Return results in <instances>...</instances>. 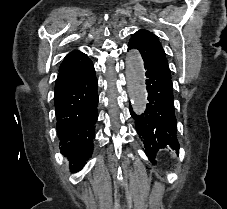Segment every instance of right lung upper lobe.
<instances>
[{"mask_svg": "<svg viewBox=\"0 0 227 209\" xmlns=\"http://www.w3.org/2000/svg\"><path fill=\"white\" fill-rule=\"evenodd\" d=\"M91 60L87 58L86 54L73 51L72 53L68 54L64 61L62 62L61 66L70 65V66H82L90 63ZM70 81L60 82L55 85V93L62 92L68 85Z\"/></svg>", "mask_w": 227, "mask_h": 209, "instance_id": "1", "label": "right lung upper lobe"}]
</instances>
